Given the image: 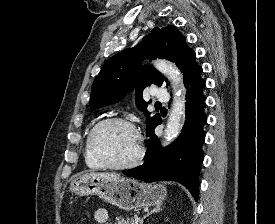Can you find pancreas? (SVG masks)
I'll return each instance as SVG.
<instances>
[{
  "label": "pancreas",
  "mask_w": 275,
  "mask_h": 224,
  "mask_svg": "<svg viewBox=\"0 0 275 224\" xmlns=\"http://www.w3.org/2000/svg\"><path fill=\"white\" fill-rule=\"evenodd\" d=\"M115 224H134V219L124 218V217H116Z\"/></svg>",
  "instance_id": "obj_1"
}]
</instances>
